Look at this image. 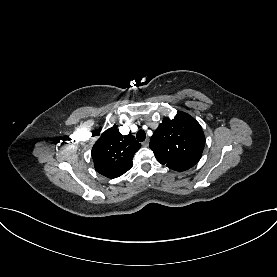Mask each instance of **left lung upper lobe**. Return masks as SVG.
<instances>
[{
	"label": "left lung upper lobe",
	"instance_id": "5c2ea615",
	"mask_svg": "<svg viewBox=\"0 0 277 277\" xmlns=\"http://www.w3.org/2000/svg\"><path fill=\"white\" fill-rule=\"evenodd\" d=\"M204 145L205 136L200 124L180 111L174 119L164 118L150 141L158 162L175 171L193 167L200 160Z\"/></svg>",
	"mask_w": 277,
	"mask_h": 277
}]
</instances>
